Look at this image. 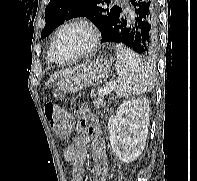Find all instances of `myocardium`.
Masks as SVG:
<instances>
[{"instance_id":"myocardium-1","label":"myocardium","mask_w":197,"mask_h":181,"mask_svg":"<svg viewBox=\"0 0 197 181\" xmlns=\"http://www.w3.org/2000/svg\"><path fill=\"white\" fill-rule=\"evenodd\" d=\"M72 26H81V27H84L85 29H87L88 32L90 33V38H91L90 43L85 50L78 53L74 57L67 59V60H61L58 58L57 52H56L57 41H58L60 35L63 33V31L69 27H72ZM99 41H100V33L94 23H92L91 21L86 20V19H77V20L69 21V22L65 23L63 26H61V28L57 31V33L55 34V36L53 38L52 45H51L53 60L58 64L73 63L79 59H82V58L87 57V56L91 55L92 53H94V51L98 47Z\"/></svg>"}]
</instances>
